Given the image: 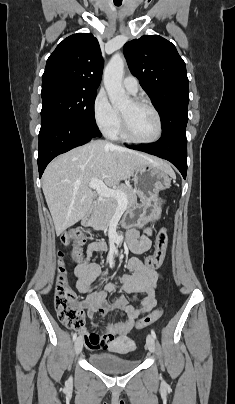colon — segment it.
Listing matches in <instances>:
<instances>
[{
	"mask_svg": "<svg viewBox=\"0 0 235 404\" xmlns=\"http://www.w3.org/2000/svg\"><path fill=\"white\" fill-rule=\"evenodd\" d=\"M64 246L74 247L72 257L75 262H81L82 253L79 249L86 242V236L81 230H69L61 237ZM168 236L165 229H161L156 237L155 251L144 260V265L152 270L159 268L166 256ZM63 254L59 253L60 265L55 288V309L58 319L62 324L71 329H78L83 324L84 311L76 302L75 294L68 285L66 271L62 262ZM163 314L162 308H157L150 314L140 318L136 322L138 328L145 327L157 321ZM110 338L104 337L102 344H108Z\"/></svg>",
	"mask_w": 235,
	"mask_h": 404,
	"instance_id": "obj_1",
	"label": "colon"
}]
</instances>
